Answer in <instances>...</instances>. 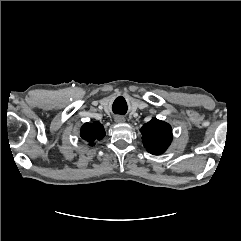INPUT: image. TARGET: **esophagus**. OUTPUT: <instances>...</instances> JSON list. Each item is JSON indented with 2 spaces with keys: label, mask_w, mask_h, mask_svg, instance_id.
<instances>
[{
  "label": "esophagus",
  "mask_w": 241,
  "mask_h": 241,
  "mask_svg": "<svg viewBox=\"0 0 241 241\" xmlns=\"http://www.w3.org/2000/svg\"><path fill=\"white\" fill-rule=\"evenodd\" d=\"M115 121L118 122V123H122V122L125 121V118L122 117V116H116V117H115Z\"/></svg>",
  "instance_id": "obj_1"
}]
</instances>
